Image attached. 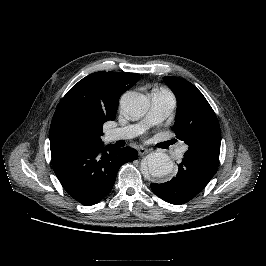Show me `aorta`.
Listing matches in <instances>:
<instances>
[{
    "label": "aorta",
    "instance_id": "aorta-1",
    "mask_svg": "<svg viewBox=\"0 0 266 266\" xmlns=\"http://www.w3.org/2000/svg\"><path fill=\"white\" fill-rule=\"evenodd\" d=\"M122 110L131 117H142L149 108L150 102L147 96L137 92H126L121 97ZM173 162L164 152H153L146 156L142 164V171L155 178L170 174L173 170Z\"/></svg>",
    "mask_w": 266,
    "mask_h": 266
}]
</instances>
